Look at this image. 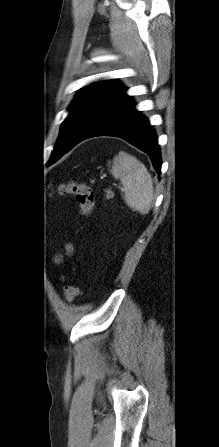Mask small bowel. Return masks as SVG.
Wrapping results in <instances>:
<instances>
[{"label":"small bowel","mask_w":219,"mask_h":447,"mask_svg":"<svg viewBox=\"0 0 219 447\" xmlns=\"http://www.w3.org/2000/svg\"><path fill=\"white\" fill-rule=\"evenodd\" d=\"M66 253L69 254V255L73 253V247L71 245H68L66 247Z\"/></svg>","instance_id":"obj_1"}]
</instances>
